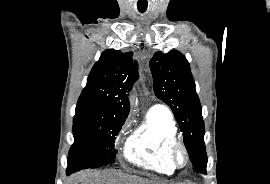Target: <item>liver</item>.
<instances>
[{
  "label": "liver",
  "mask_w": 270,
  "mask_h": 184,
  "mask_svg": "<svg viewBox=\"0 0 270 184\" xmlns=\"http://www.w3.org/2000/svg\"><path fill=\"white\" fill-rule=\"evenodd\" d=\"M74 184H165L161 181H151L137 176L126 175L116 170H87L73 175Z\"/></svg>",
  "instance_id": "1"
}]
</instances>
